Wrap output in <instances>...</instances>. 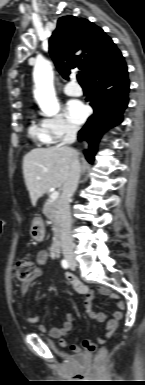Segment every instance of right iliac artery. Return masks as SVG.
I'll list each match as a JSON object with an SVG mask.
<instances>
[{"mask_svg": "<svg viewBox=\"0 0 145 385\" xmlns=\"http://www.w3.org/2000/svg\"><path fill=\"white\" fill-rule=\"evenodd\" d=\"M61 265L63 268L67 269L69 267V263L66 260L61 261Z\"/></svg>", "mask_w": 145, "mask_h": 385, "instance_id": "1", "label": "right iliac artery"}]
</instances>
